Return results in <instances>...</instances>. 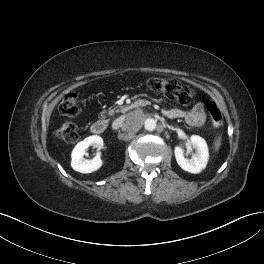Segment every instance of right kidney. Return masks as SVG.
I'll use <instances>...</instances> for the list:
<instances>
[{"instance_id":"ca27d5eb","label":"right kidney","mask_w":264,"mask_h":264,"mask_svg":"<svg viewBox=\"0 0 264 264\" xmlns=\"http://www.w3.org/2000/svg\"><path fill=\"white\" fill-rule=\"evenodd\" d=\"M89 146H97L102 148L103 139L100 136L92 135L77 143L71 153V167L81 173H91L101 168L103 162L100 157V152L92 160L84 158L85 150Z\"/></svg>"}]
</instances>
